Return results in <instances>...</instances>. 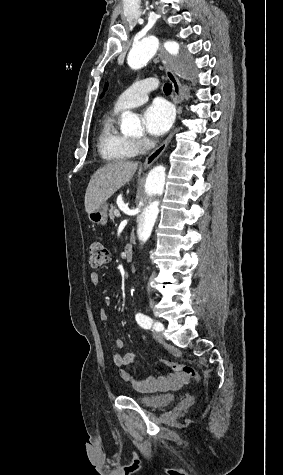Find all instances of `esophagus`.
<instances>
[{"label":"esophagus","mask_w":283,"mask_h":475,"mask_svg":"<svg viewBox=\"0 0 283 475\" xmlns=\"http://www.w3.org/2000/svg\"><path fill=\"white\" fill-rule=\"evenodd\" d=\"M166 76L170 80V82L172 83L174 103H177V104L181 103L182 100H183V91H182V86H181L178 78L176 77L175 73L170 68H166ZM179 112L180 111L177 110V113H179ZM172 135H173V132L170 133V135L166 138V140H164V142L159 147H157L155 150H153V152H151L146 157V159L144 161V164H143L144 167H149L162 155L165 148L169 144V142L172 138Z\"/></svg>","instance_id":"1"}]
</instances>
